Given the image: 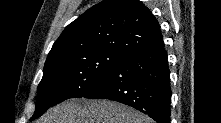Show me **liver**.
I'll return each instance as SVG.
<instances>
[{"instance_id": "6515ba94", "label": "liver", "mask_w": 221, "mask_h": 123, "mask_svg": "<svg viewBox=\"0 0 221 123\" xmlns=\"http://www.w3.org/2000/svg\"><path fill=\"white\" fill-rule=\"evenodd\" d=\"M37 123H153L146 115L108 100L70 99L50 109Z\"/></svg>"}]
</instances>
